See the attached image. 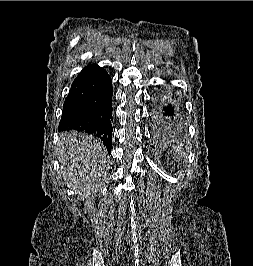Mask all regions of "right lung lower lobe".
<instances>
[{
  "label": "right lung lower lobe",
  "mask_w": 253,
  "mask_h": 266,
  "mask_svg": "<svg viewBox=\"0 0 253 266\" xmlns=\"http://www.w3.org/2000/svg\"><path fill=\"white\" fill-rule=\"evenodd\" d=\"M112 95V79L106 70L96 64L88 65L72 83L58 131L77 130L96 135L110 155Z\"/></svg>",
  "instance_id": "right-lung-lower-lobe-1"
}]
</instances>
